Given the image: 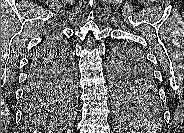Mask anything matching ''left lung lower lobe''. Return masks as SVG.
Segmentation results:
<instances>
[{
    "label": "left lung lower lobe",
    "instance_id": "left-lung-lower-lobe-1",
    "mask_svg": "<svg viewBox=\"0 0 184 133\" xmlns=\"http://www.w3.org/2000/svg\"><path fill=\"white\" fill-rule=\"evenodd\" d=\"M135 84H136V88H138L139 91H143V92H155L156 91L158 93L157 87H152L151 85L147 84L144 80L137 81ZM134 122L138 123L136 121Z\"/></svg>",
    "mask_w": 184,
    "mask_h": 133
}]
</instances>
